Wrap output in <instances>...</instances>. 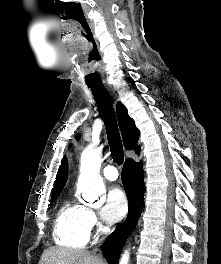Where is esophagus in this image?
<instances>
[{"label": "esophagus", "instance_id": "obj_1", "mask_svg": "<svg viewBox=\"0 0 221 264\" xmlns=\"http://www.w3.org/2000/svg\"><path fill=\"white\" fill-rule=\"evenodd\" d=\"M106 89L108 90V92L110 93V94H114V91L112 90V88L109 86V85H106Z\"/></svg>", "mask_w": 221, "mask_h": 264}]
</instances>
